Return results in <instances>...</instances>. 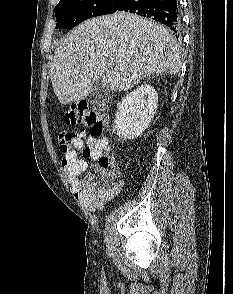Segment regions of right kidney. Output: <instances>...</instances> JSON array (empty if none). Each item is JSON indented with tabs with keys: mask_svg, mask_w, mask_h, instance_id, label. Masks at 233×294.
I'll use <instances>...</instances> for the list:
<instances>
[{
	"mask_svg": "<svg viewBox=\"0 0 233 294\" xmlns=\"http://www.w3.org/2000/svg\"><path fill=\"white\" fill-rule=\"evenodd\" d=\"M158 107V94L147 84L122 98L115 117V130L123 139H133L148 127Z\"/></svg>",
	"mask_w": 233,
	"mask_h": 294,
	"instance_id": "1",
	"label": "right kidney"
}]
</instances>
